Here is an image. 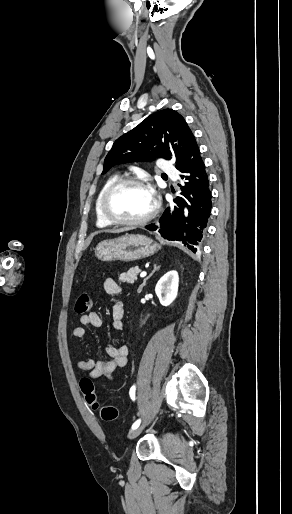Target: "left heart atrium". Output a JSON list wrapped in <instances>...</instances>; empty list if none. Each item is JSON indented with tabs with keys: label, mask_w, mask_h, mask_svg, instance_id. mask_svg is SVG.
<instances>
[{
	"label": "left heart atrium",
	"mask_w": 292,
	"mask_h": 514,
	"mask_svg": "<svg viewBox=\"0 0 292 514\" xmlns=\"http://www.w3.org/2000/svg\"><path fill=\"white\" fill-rule=\"evenodd\" d=\"M147 192H148L150 198L153 200V192H152V190L150 188H147Z\"/></svg>",
	"instance_id": "1"
}]
</instances>
